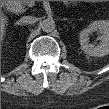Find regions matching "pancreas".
I'll use <instances>...</instances> for the list:
<instances>
[{"label": "pancreas", "instance_id": "obj_1", "mask_svg": "<svg viewBox=\"0 0 109 109\" xmlns=\"http://www.w3.org/2000/svg\"><path fill=\"white\" fill-rule=\"evenodd\" d=\"M22 4L24 6L32 7L34 5V2H32V1H22Z\"/></svg>", "mask_w": 109, "mask_h": 109}]
</instances>
